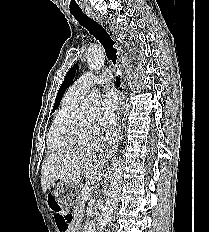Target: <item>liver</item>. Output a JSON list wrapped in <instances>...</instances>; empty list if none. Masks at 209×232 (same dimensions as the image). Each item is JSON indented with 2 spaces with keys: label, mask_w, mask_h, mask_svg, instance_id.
I'll use <instances>...</instances> for the list:
<instances>
[{
  "label": "liver",
  "mask_w": 209,
  "mask_h": 232,
  "mask_svg": "<svg viewBox=\"0 0 209 232\" xmlns=\"http://www.w3.org/2000/svg\"><path fill=\"white\" fill-rule=\"evenodd\" d=\"M114 140L104 144L100 139L86 141L77 145L63 148L47 156L42 165L41 185L47 189L57 180L77 184L83 178L88 184L101 180L106 158L114 152Z\"/></svg>",
  "instance_id": "1"
}]
</instances>
